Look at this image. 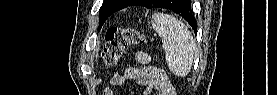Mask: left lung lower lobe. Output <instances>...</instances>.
I'll return each mask as SVG.
<instances>
[{
    "instance_id": "left-lung-lower-lobe-1",
    "label": "left lung lower lobe",
    "mask_w": 277,
    "mask_h": 95,
    "mask_svg": "<svg viewBox=\"0 0 277 95\" xmlns=\"http://www.w3.org/2000/svg\"><path fill=\"white\" fill-rule=\"evenodd\" d=\"M177 0H163V3L159 6V8L170 9L175 13L182 16L184 19L188 21L190 26L194 29L197 28L196 20L192 15L190 8V0H182L180 4L176 5ZM128 6H144L148 8L149 0H133Z\"/></svg>"
}]
</instances>
